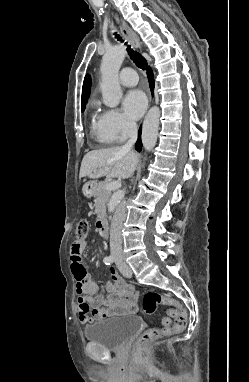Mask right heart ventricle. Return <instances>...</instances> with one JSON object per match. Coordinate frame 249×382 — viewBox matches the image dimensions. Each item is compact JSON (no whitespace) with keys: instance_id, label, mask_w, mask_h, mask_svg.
I'll return each instance as SVG.
<instances>
[{"instance_id":"obj_1","label":"right heart ventricle","mask_w":249,"mask_h":382,"mask_svg":"<svg viewBox=\"0 0 249 382\" xmlns=\"http://www.w3.org/2000/svg\"><path fill=\"white\" fill-rule=\"evenodd\" d=\"M92 129H93V133H94L100 140H102V141H104V142H106V143H112V142H114L111 138H109V137L105 134V132H104V130H103L101 124H100V116L95 115V120H94Z\"/></svg>"}]
</instances>
